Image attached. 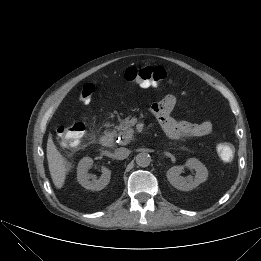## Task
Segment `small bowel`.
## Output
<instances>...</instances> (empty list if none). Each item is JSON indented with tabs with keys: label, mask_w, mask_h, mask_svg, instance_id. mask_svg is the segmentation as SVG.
<instances>
[{
	"label": "small bowel",
	"mask_w": 261,
	"mask_h": 261,
	"mask_svg": "<svg viewBox=\"0 0 261 261\" xmlns=\"http://www.w3.org/2000/svg\"><path fill=\"white\" fill-rule=\"evenodd\" d=\"M144 87H148L142 85ZM177 103L174 95H167L161 101L153 103L151 110L159 120L165 134L169 138H178L181 136H205L212 131V122L208 119L198 123L188 121L177 122L170 116L173 108Z\"/></svg>",
	"instance_id": "small-bowel-1"
}]
</instances>
